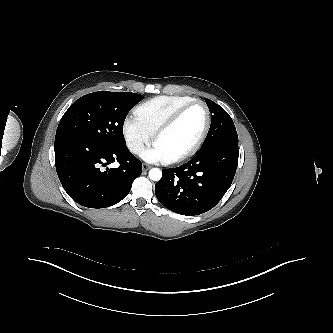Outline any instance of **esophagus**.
Listing matches in <instances>:
<instances>
[{
    "label": "esophagus",
    "mask_w": 333,
    "mask_h": 333,
    "mask_svg": "<svg viewBox=\"0 0 333 333\" xmlns=\"http://www.w3.org/2000/svg\"><path fill=\"white\" fill-rule=\"evenodd\" d=\"M150 168H151V166L148 165V164H143V165H142V169H143V171H147V170H149Z\"/></svg>",
    "instance_id": "34e87169"
}]
</instances>
